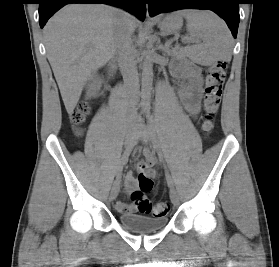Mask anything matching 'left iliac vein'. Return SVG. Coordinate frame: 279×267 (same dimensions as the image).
Instances as JSON below:
<instances>
[{"label": "left iliac vein", "instance_id": "left-iliac-vein-1", "mask_svg": "<svg viewBox=\"0 0 279 267\" xmlns=\"http://www.w3.org/2000/svg\"><path fill=\"white\" fill-rule=\"evenodd\" d=\"M135 129H136L135 137L137 139H141L145 143L150 141L152 142L150 131L144 124L138 125ZM170 199L173 205L177 206L179 204V197L177 192L174 189L170 190Z\"/></svg>", "mask_w": 279, "mask_h": 267}]
</instances>
